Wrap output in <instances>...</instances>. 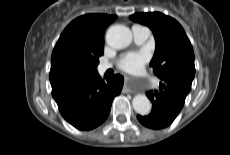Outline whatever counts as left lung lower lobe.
Instances as JSON below:
<instances>
[{
    "label": "left lung lower lobe",
    "mask_w": 230,
    "mask_h": 155,
    "mask_svg": "<svg viewBox=\"0 0 230 155\" xmlns=\"http://www.w3.org/2000/svg\"><path fill=\"white\" fill-rule=\"evenodd\" d=\"M190 89L176 81H161L159 90L147 92L152 102L148 116H137L139 122L152 129L169 126L181 111Z\"/></svg>",
    "instance_id": "0a47b994"
}]
</instances>
